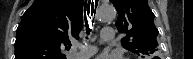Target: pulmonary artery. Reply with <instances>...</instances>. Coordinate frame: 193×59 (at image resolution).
Wrapping results in <instances>:
<instances>
[{
	"instance_id": "1",
	"label": "pulmonary artery",
	"mask_w": 193,
	"mask_h": 59,
	"mask_svg": "<svg viewBox=\"0 0 193 59\" xmlns=\"http://www.w3.org/2000/svg\"><path fill=\"white\" fill-rule=\"evenodd\" d=\"M102 35H103L104 40H106V41L112 40L114 38L113 29L111 27H103ZM96 52H97V48L95 46H89L88 50H86L85 52H83L81 54H76L74 56H75V58L82 59V58H86L88 56H92Z\"/></svg>"
}]
</instances>
